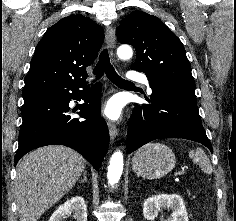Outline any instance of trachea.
<instances>
[{
	"label": "trachea",
	"instance_id": "trachea-1",
	"mask_svg": "<svg viewBox=\"0 0 236 221\" xmlns=\"http://www.w3.org/2000/svg\"><path fill=\"white\" fill-rule=\"evenodd\" d=\"M96 79L101 78L104 73L107 78L117 86L132 85L133 83L121 78L115 71L110 62V57L107 49H104L99 58V62L93 70Z\"/></svg>",
	"mask_w": 236,
	"mask_h": 221
}]
</instances>
